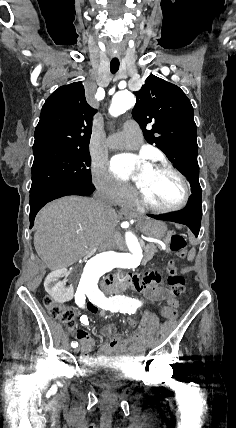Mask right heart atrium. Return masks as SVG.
I'll use <instances>...</instances> for the list:
<instances>
[{
  "label": "right heart atrium",
  "instance_id": "1",
  "mask_svg": "<svg viewBox=\"0 0 236 428\" xmlns=\"http://www.w3.org/2000/svg\"><path fill=\"white\" fill-rule=\"evenodd\" d=\"M92 184L105 200H113V205L121 206L133 197V192L116 181L104 164H96L92 170Z\"/></svg>",
  "mask_w": 236,
  "mask_h": 428
}]
</instances>
